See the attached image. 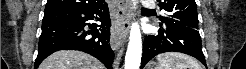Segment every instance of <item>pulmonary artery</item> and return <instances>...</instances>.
Instances as JSON below:
<instances>
[{"mask_svg": "<svg viewBox=\"0 0 246 69\" xmlns=\"http://www.w3.org/2000/svg\"><path fill=\"white\" fill-rule=\"evenodd\" d=\"M145 9L151 10L155 6L154 2H143Z\"/></svg>", "mask_w": 246, "mask_h": 69, "instance_id": "obj_1", "label": "pulmonary artery"}]
</instances>
